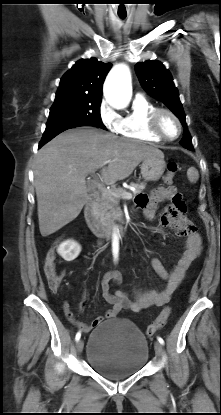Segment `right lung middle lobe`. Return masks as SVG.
<instances>
[{"mask_svg":"<svg viewBox=\"0 0 221 415\" xmlns=\"http://www.w3.org/2000/svg\"><path fill=\"white\" fill-rule=\"evenodd\" d=\"M101 100V97L88 95H56L47 123L81 122L106 130L100 117Z\"/></svg>","mask_w":221,"mask_h":415,"instance_id":"obj_1","label":"right lung middle lobe"}]
</instances>
